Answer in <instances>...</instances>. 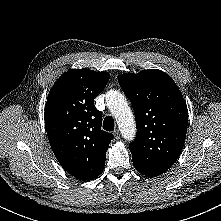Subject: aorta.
<instances>
[{
    "instance_id": "1",
    "label": "aorta",
    "mask_w": 221,
    "mask_h": 221,
    "mask_svg": "<svg viewBox=\"0 0 221 221\" xmlns=\"http://www.w3.org/2000/svg\"><path fill=\"white\" fill-rule=\"evenodd\" d=\"M106 103L117 121L122 136L127 140L134 139L136 126L126 98L119 91L110 90L106 95Z\"/></svg>"
}]
</instances>
